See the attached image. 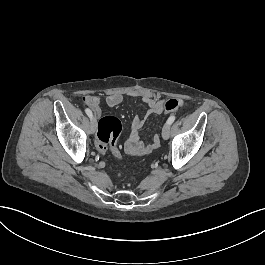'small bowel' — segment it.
Returning a JSON list of instances; mask_svg holds the SVG:
<instances>
[{
	"label": "small bowel",
	"instance_id": "c3829d8e",
	"mask_svg": "<svg viewBox=\"0 0 265 265\" xmlns=\"http://www.w3.org/2000/svg\"><path fill=\"white\" fill-rule=\"evenodd\" d=\"M123 99L124 97L121 93L113 92L107 96L106 103L110 107H115L121 104ZM80 100L83 103L87 102L96 116H99L102 113V110L100 109V98L98 96H87L86 94H83L80 97ZM141 100L147 106V111L141 119L133 122L131 135L125 145L126 152L132 156L148 155L160 145V139L157 135L153 137L151 143H144L141 141L138 132L149 117L163 113L164 101L152 97L149 94L142 95ZM180 105H183L182 101H180Z\"/></svg>",
	"mask_w": 265,
	"mask_h": 265
}]
</instances>
